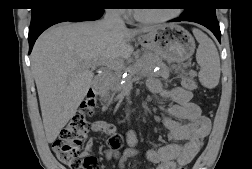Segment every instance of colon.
Here are the masks:
<instances>
[{"label": "colon", "mask_w": 252, "mask_h": 169, "mask_svg": "<svg viewBox=\"0 0 252 169\" xmlns=\"http://www.w3.org/2000/svg\"><path fill=\"white\" fill-rule=\"evenodd\" d=\"M182 86L187 90H197L198 86L191 76L182 79ZM96 107V94L90 91L76 114L61 130L58 138L53 143V151L58 160L70 169H94L95 158L81 151L82 144L87 137L90 126L87 117L94 113ZM104 135L108 144L115 148L121 143V137L113 124L109 123L104 128ZM179 169H186L181 166Z\"/></svg>", "instance_id": "colon-1"}]
</instances>
